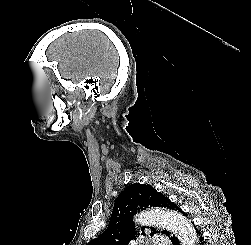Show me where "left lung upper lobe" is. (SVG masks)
<instances>
[{
  "mask_svg": "<svg viewBox=\"0 0 251 245\" xmlns=\"http://www.w3.org/2000/svg\"><path fill=\"white\" fill-rule=\"evenodd\" d=\"M149 207H164L179 211V206L171 202L166 196L157 192L146 184H131L117 198L107 229L87 245H128L136 238L137 233L133 223V215ZM144 235V227L141 228ZM151 236L154 233L167 235L169 231H157L151 227ZM139 235V234H138Z\"/></svg>",
  "mask_w": 251,
  "mask_h": 245,
  "instance_id": "obj_1",
  "label": "left lung upper lobe"
}]
</instances>
